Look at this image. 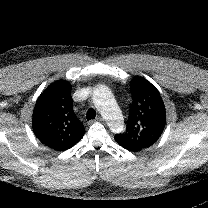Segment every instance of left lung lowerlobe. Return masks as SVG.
I'll use <instances>...</instances> for the list:
<instances>
[{"instance_id": "0a47b994", "label": "left lung lower lobe", "mask_w": 208, "mask_h": 208, "mask_svg": "<svg viewBox=\"0 0 208 208\" xmlns=\"http://www.w3.org/2000/svg\"><path fill=\"white\" fill-rule=\"evenodd\" d=\"M114 139H115V141H116L120 146H122L123 148H125V149H127V150H129V151L137 152V151L142 150V149H140V148H138V147H136V146L127 144V143L122 142V141H120V140H118V139H116V138H114Z\"/></svg>"}]
</instances>
